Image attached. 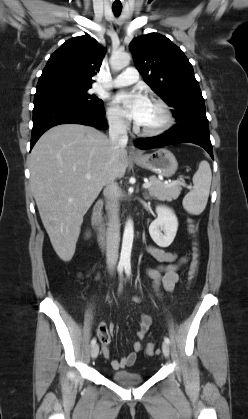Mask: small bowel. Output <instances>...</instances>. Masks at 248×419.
I'll use <instances>...</instances> for the list:
<instances>
[{
  "mask_svg": "<svg viewBox=\"0 0 248 419\" xmlns=\"http://www.w3.org/2000/svg\"><path fill=\"white\" fill-rule=\"evenodd\" d=\"M146 252L159 262V265L156 268L148 270V274L154 279L155 286L157 288L163 287L166 291H172L179 280L178 269L186 262V259L184 257H179L175 252L167 251L155 246H148ZM134 300L140 302L141 298L136 296L134 297ZM151 324V316L141 314L139 329L136 333L137 340L133 343V350L123 358L112 360L111 365L114 369H122L132 366L135 363L137 354L143 349L142 341ZM101 328L106 327L101 325ZM106 329L108 334L106 339L101 341V352L104 357L108 358L110 356L109 344L113 335V329L112 327Z\"/></svg>",
  "mask_w": 248,
  "mask_h": 419,
  "instance_id": "1",
  "label": "small bowel"
}]
</instances>
